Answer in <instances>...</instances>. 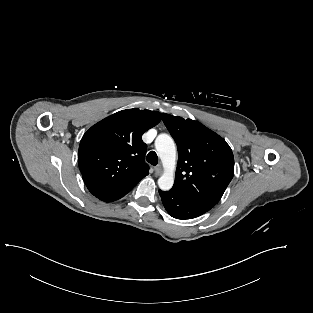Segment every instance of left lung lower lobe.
<instances>
[{
	"label": "left lung lower lobe",
	"instance_id": "left-lung-lower-lobe-1",
	"mask_svg": "<svg viewBox=\"0 0 313 313\" xmlns=\"http://www.w3.org/2000/svg\"><path fill=\"white\" fill-rule=\"evenodd\" d=\"M159 194L167 212L177 219H192L212 208L207 204L183 197L171 190L166 192L159 190Z\"/></svg>",
	"mask_w": 313,
	"mask_h": 313
}]
</instances>
